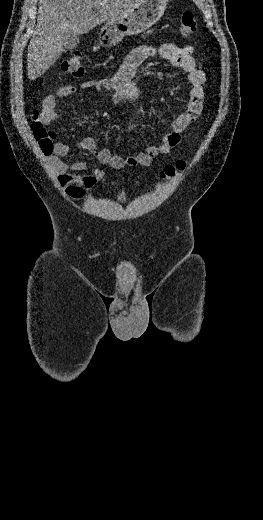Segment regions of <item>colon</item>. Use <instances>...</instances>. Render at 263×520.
<instances>
[{
    "label": "colon",
    "mask_w": 263,
    "mask_h": 520,
    "mask_svg": "<svg viewBox=\"0 0 263 520\" xmlns=\"http://www.w3.org/2000/svg\"><path fill=\"white\" fill-rule=\"evenodd\" d=\"M197 27L198 24L194 13L191 11L184 12L180 20L181 34L185 37L190 36L196 32ZM61 70L74 78L81 77L84 73V66L80 53H71L69 57L63 61ZM31 127L34 133V137L37 140L42 152L46 155L51 154L54 148V132L47 129L39 120L37 115H35ZM185 168L186 162L183 160H178L174 164L166 165L160 172V176L163 179H174L179 174H181Z\"/></svg>",
    "instance_id": "colon-1"
}]
</instances>
